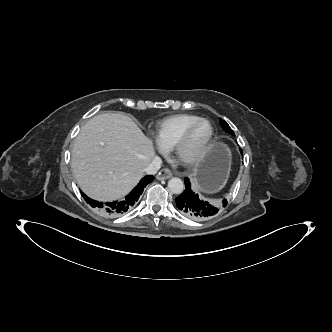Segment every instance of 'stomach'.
Segmentation results:
<instances>
[{
  "label": "stomach",
  "instance_id": "stomach-1",
  "mask_svg": "<svg viewBox=\"0 0 332 332\" xmlns=\"http://www.w3.org/2000/svg\"><path fill=\"white\" fill-rule=\"evenodd\" d=\"M230 152L220 142H214L194 170V188L198 192L212 194L226 183L229 174Z\"/></svg>",
  "mask_w": 332,
  "mask_h": 332
}]
</instances>
